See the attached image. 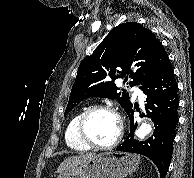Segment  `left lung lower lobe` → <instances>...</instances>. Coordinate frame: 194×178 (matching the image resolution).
Wrapping results in <instances>:
<instances>
[{
    "mask_svg": "<svg viewBox=\"0 0 194 178\" xmlns=\"http://www.w3.org/2000/svg\"><path fill=\"white\" fill-rule=\"evenodd\" d=\"M177 88L174 70L168 57L162 67L140 87L147 96L145 104L147 115L155 123L153 136L143 142L133 139L137 123L133 117V106H131L126 111L130 119V133L126 140L115 149L148 157L157 166L160 178H165L173 153V141L178 122Z\"/></svg>",
    "mask_w": 194,
    "mask_h": 178,
    "instance_id": "obj_1",
    "label": "left lung lower lobe"
}]
</instances>
